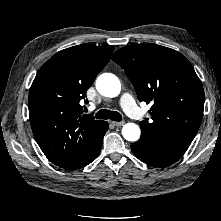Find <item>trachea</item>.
I'll use <instances>...</instances> for the list:
<instances>
[{
  "mask_svg": "<svg viewBox=\"0 0 221 221\" xmlns=\"http://www.w3.org/2000/svg\"><path fill=\"white\" fill-rule=\"evenodd\" d=\"M96 118L97 119H110L113 121L120 122L122 117L119 112L116 111H110L106 109H102L96 113Z\"/></svg>",
  "mask_w": 221,
  "mask_h": 221,
  "instance_id": "obj_1",
  "label": "trachea"
}]
</instances>
